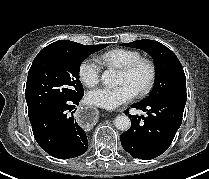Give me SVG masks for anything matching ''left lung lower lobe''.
<instances>
[{
    "label": "left lung lower lobe",
    "instance_id": "0a47b994",
    "mask_svg": "<svg viewBox=\"0 0 209 179\" xmlns=\"http://www.w3.org/2000/svg\"><path fill=\"white\" fill-rule=\"evenodd\" d=\"M186 100V93H177L133 104L131 107L147 112V116L130 115L131 128L121 134L123 149L132 157L143 160L164 153L182 123Z\"/></svg>",
    "mask_w": 209,
    "mask_h": 179
}]
</instances>
